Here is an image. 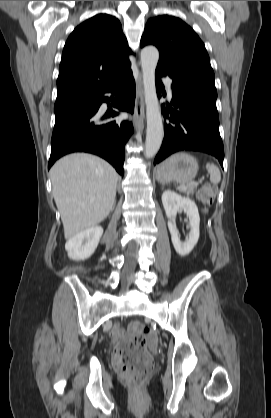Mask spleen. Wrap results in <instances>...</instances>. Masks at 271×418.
Instances as JSON below:
<instances>
[{
  "instance_id": "3e777b00",
  "label": "spleen",
  "mask_w": 271,
  "mask_h": 418,
  "mask_svg": "<svg viewBox=\"0 0 271 418\" xmlns=\"http://www.w3.org/2000/svg\"><path fill=\"white\" fill-rule=\"evenodd\" d=\"M206 169L208 173L210 174V181L213 184H218L221 180V173H220L219 168L212 163H207Z\"/></svg>"
}]
</instances>
